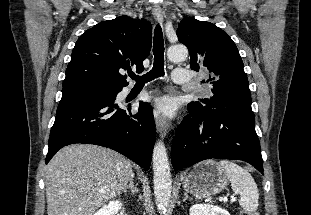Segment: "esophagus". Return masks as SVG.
Instances as JSON below:
<instances>
[{
    "label": "esophagus",
    "instance_id": "esophagus-1",
    "mask_svg": "<svg viewBox=\"0 0 311 215\" xmlns=\"http://www.w3.org/2000/svg\"><path fill=\"white\" fill-rule=\"evenodd\" d=\"M152 13H153L154 18L158 22L160 23L163 22L164 12L159 6H154ZM155 123H156L157 131L159 133H163L164 135L168 133L170 125L163 117H161L158 114H155Z\"/></svg>",
    "mask_w": 311,
    "mask_h": 215
}]
</instances>
